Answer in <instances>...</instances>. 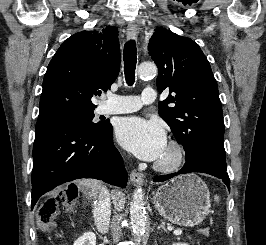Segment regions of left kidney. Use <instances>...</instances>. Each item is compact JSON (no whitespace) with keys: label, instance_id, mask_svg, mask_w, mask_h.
<instances>
[{"label":"left kidney","instance_id":"1","mask_svg":"<svg viewBox=\"0 0 266 245\" xmlns=\"http://www.w3.org/2000/svg\"><path fill=\"white\" fill-rule=\"evenodd\" d=\"M173 245H187V243H173Z\"/></svg>","mask_w":266,"mask_h":245}]
</instances>
